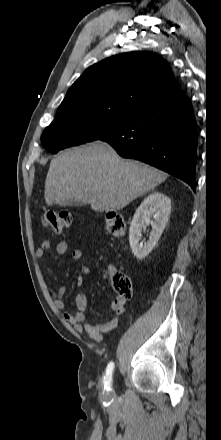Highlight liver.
<instances>
[{"label": "liver", "instance_id": "6515ba94", "mask_svg": "<svg viewBox=\"0 0 221 440\" xmlns=\"http://www.w3.org/2000/svg\"><path fill=\"white\" fill-rule=\"evenodd\" d=\"M166 178L163 171L124 160L110 145L97 141L51 160L44 197L48 206L74 199L89 203L97 212L118 211Z\"/></svg>", "mask_w": 221, "mask_h": 440}]
</instances>
